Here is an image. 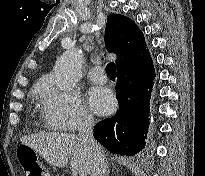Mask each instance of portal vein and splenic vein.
Segmentation results:
<instances>
[{
    "instance_id": "18ae733b",
    "label": "portal vein and splenic vein",
    "mask_w": 205,
    "mask_h": 176,
    "mask_svg": "<svg viewBox=\"0 0 205 176\" xmlns=\"http://www.w3.org/2000/svg\"><path fill=\"white\" fill-rule=\"evenodd\" d=\"M80 176H87L86 174H81Z\"/></svg>"
}]
</instances>
